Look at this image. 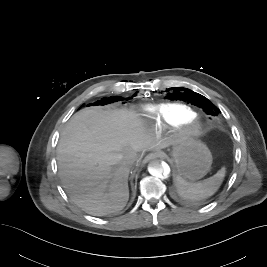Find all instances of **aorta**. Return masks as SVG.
<instances>
[{"mask_svg":"<svg viewBox=\"0 0 267 267\" xmlns=\"http://www.w3.org/2000/svg\"><path fill=\"white\" fill-rule=\"evenodd\" d=\"M148 172L154 177L165 179L169 177L170 167L165 161L155 159L149 163Z\"/></svg>","mask_w":267,"mask_h":267,"instance_id":"762f6f07","label":"aorta"}]
</instances>
